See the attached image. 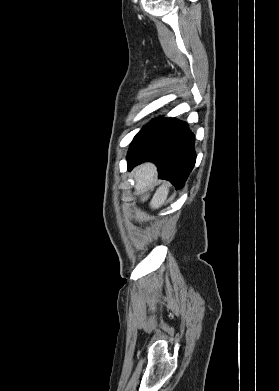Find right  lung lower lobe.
I'll use <instances>...</instances> for the list:
<instances>
[{
    "instance_id": "right-lung-lower-lobe-1",
    "label": "right lung lower lobe",
    "mask_w": 279,
    "mask_h": 391,
    "mask_svg": "<svg viewBox=\"0 0 279 391\" xmlns=\"http://www.w3.org/2000/svg\"><path fill=\"white\" fill-rule=\"evenodd\" d=\"M196 160L194 135L188 125L174 118L155 120L129 148L128 170L152 161L159 178L169 180L177 189L184 186Z\"/></svg>"
}]
</instances>
